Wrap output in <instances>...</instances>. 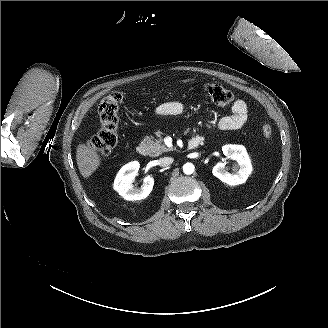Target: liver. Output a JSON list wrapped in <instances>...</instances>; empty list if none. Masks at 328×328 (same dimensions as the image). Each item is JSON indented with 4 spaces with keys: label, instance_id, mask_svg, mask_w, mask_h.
<instances>
[{
    "label": "liver",
    "instance_id": "6515ba94",
    "mask_svg": "<svg viewBox=\"0 0 328 328\" xmlns=\"http://www.w3.org/2000/svg\"><path fill=\"white\" fill-rule=\"evenodd\" d=\"M76 162L80 174L87 180L99 170L103 159L92 145L79 143L76 148Z\"/></svg>",
    "mask_w": 328,
    "mask_h": 328
}]
</instances>
